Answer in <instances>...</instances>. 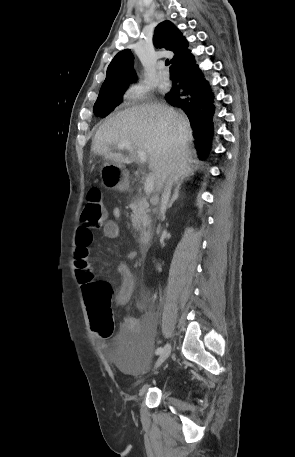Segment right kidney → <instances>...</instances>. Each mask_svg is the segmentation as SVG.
Returning a JSON list of instances; mask_svg holds the SVG:
<instances>
[{
	"label": "right kidney",
	"instance_id": "ca27d5eb",
	"mask_svg": "<svg viewBox=\"0 0 295 457\" xmlns=\"http://www.w3.org/2000/svg\"><path fill=\"white\" fill-rule=\"evenodd\" d=\"M158 270H159V271H161V268H160V267H158Z\"/></svg>",
	"mask_w": 295,
	"mask_h": 457
}]
</instances>
